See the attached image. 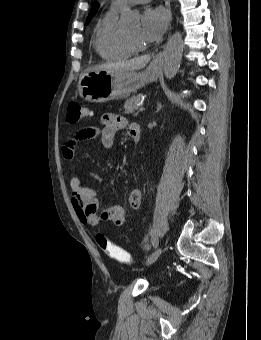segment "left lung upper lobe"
I'll use <instances>...</instances> for the list:
<instances>
[{"instance_id":"5c2ea615","label":"left lung upper lobe","mask_w":261,"mask_h":340,"mask_svg":"<svg viewBox=\"0 0 261 340\" xmlns=\"http://www.w3.org/2000/svg\"><path fill=\"white\" fill-rule=\"evenodd\" d=\"M98 7V6H97ZM92 16H94V12L89 14V17L87 18V24L89 23V21L91 20Z\"/></svg>"}]
</instances>
